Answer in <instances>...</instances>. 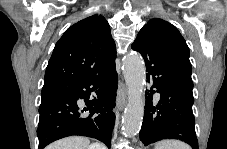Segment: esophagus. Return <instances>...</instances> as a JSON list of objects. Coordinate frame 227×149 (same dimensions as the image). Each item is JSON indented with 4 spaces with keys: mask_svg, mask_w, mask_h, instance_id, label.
Here are the masks:
<instances>
[{
    "mask_svg": "<svg viewBox=\"0 0 227 149\" xmlns=\"http://www.w3.org/2000/svg\"><path fill=\"white\" fill-rule=\"evenodd\" d=\"M127 103V92L123 83L120 82L117 91V109L122 111Z\"/></svg>",
    "mask_w": 227,
    "mask_h": 149,
    "instance_id": "esophagus-1",
    "label": "esophagus"
}]
</instances>
